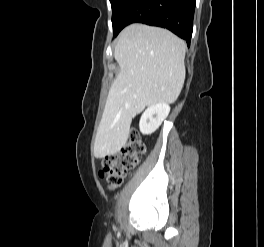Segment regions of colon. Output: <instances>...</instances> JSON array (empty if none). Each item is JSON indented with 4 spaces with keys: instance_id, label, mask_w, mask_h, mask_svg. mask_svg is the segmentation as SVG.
Instances as JSON below:
<instances>
[{
    "instance_id": "5ec220e1",
    "label": "colon",
    "mask_w": 264,
    "mask_h": 247,
    "mask_svg": "<svg viewBox=\"0 0 264 247\" xmlns=\"http://www.w3.org/2000/svg\"><path fill=\"white\" fill-rule=\"evenodd\" d=\"M145 153V144L132 133L120 151L105 158L100 175L106 179L109 189L118 188L124 178L138 166Z\"/></svg>"
}]
</instances>
